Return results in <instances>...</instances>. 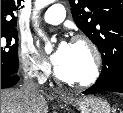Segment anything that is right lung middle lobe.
Listing matches in <instances>:
<instances>
[{"mask_svg":"<svg viewBox=\"0 0 123 113\" xmlns=\"http://www.w3.org/2000/svg\"><path fill=\"white\" fill-rule=\"evenodd\" d=\"M18 72V33L15 28L1 29V73Z\"/></svg>","mask_w":123,"mask_h":113,"instance_id":"dd1d6c3e","label":"right lung middle lobe"}]
</instances>
